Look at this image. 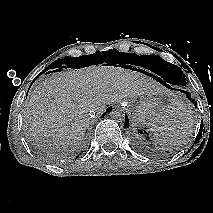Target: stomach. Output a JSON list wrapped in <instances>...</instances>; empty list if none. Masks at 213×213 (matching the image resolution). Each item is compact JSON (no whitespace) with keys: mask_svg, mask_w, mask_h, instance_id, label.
Wrapping results in <instances>:
<instances>
[{"mask_svg":"<svg viewBox=\"0 0 213 213\" xmlns=\"http://www.w3.org/2000/svg\"><path fill=\"white\" fill-rule=\"evenodd\" d=\"M129 109L132 121L136 126H146L150 129L157 124V116L167 108L158 95H144L130 100Z\"/></svg>","mask_w":213,"mask_h":213,"instance_id":"stomach-1","label":"stomach"}]
</instances>
